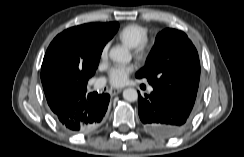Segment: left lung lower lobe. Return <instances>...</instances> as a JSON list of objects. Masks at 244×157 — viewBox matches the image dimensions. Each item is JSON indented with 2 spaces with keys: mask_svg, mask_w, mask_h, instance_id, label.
Instances as JSON below:
<instances>
[{
  "mask_svg": "<svg viewBox=\"0 0 244 157\" xmlns=\"http://www.w3.org/2000/svg\"><path fill=\"white\" fill-rule=\"evenodd\" d=\"M153 92L139 94V117L145 128L160 138L180 135L190 124L194 114L190 107L180 105L171 96L152 85Z\"/></svg>",
  "mask_w": 244,
  "mask_h": 157,
  "instance_id": "left-lung-lower-lobe-1",
  "label": "left lung lower lobe"
}]
</instances>
